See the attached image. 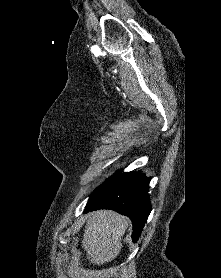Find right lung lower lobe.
Instances as JSON below:
<instances>
[{"instance_id": "1", "label": "right lung lower lobe", "mask_w": 221, "mask_h": 278, "mask_svg": "<svg viewBox=\"0 0 221 278\" xmlns=\"http://www.w3.org/2000/svg\"><path fill=\"white\" fill-rule=\"evenodd\" d=\"M149 182L150 178L142 173L118 172L92 193L84 212L112 209L128 216L133 224L132 239L136 242L151 212Z\"/></svg>"}]
</instances>
